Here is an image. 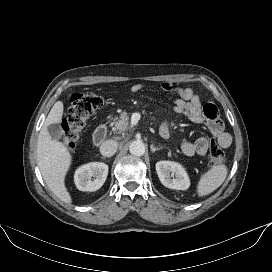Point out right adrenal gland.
Segmentation results:
<instances>
[{
    "mask_svg": "<svg viewBox=\"0 0 272 272\" xmlns=\"http://www.w3.org/2000/svg\"><path fill=\"white\" fill-rule=\"evenodd\" d=\"M101 159H105V157H101Z\"/></svg>",
    "mask_w": 272,
    "mask_h": 272,
    "instance_id": "1",
    "label": "right adrenal gland"
}]
</instances>
